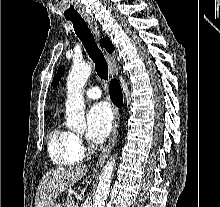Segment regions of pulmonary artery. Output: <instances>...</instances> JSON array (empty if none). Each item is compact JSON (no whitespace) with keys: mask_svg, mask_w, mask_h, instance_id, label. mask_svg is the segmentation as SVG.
Segmentation results:
<instances>
[{"mask_svg":"<svg viewBox=\"0 0 220 207\" xmlns=\"http://www.w3.org/2000/svg\"><path fill=\"white\" fill-rule=\"evenodd\" d=\"M101 89L97 86L91 87L86 90L85 95L88 99H98L101 96Z\"/></svg>","mask_w":220,"mask_h":207,"instance_id":"1","label":"pulmonary artery"}]
</instances>
